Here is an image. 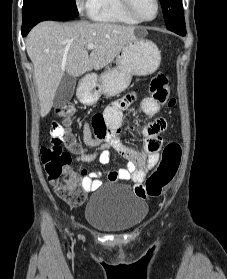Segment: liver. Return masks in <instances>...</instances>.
<instances>
[{
	"label": "liver",
	"mask_w": 227,
	"mask_h": 279,
	"mask_svg": "<svg viewBox=\"0 0 227 279\" xmlns=\"http://www.w3.org/2000/svg\"><path fill=\"white\" fill-rule=\"evenodd\" d=\"M135 26L79 21H44L28 34L26 49L34 66L40 115L51 110L62 76L74 77L108 66L135 36ZM93 44L90 55L87 45Z\"/></svg>",
	"instance_id": "1"
}]
</instances>
